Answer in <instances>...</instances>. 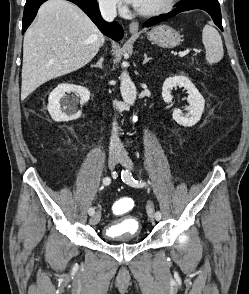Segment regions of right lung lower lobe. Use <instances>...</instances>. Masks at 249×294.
Wrapping results in <instances>:
<instances>
[{"label": "right lung lower lobe", "instance_id": "obj_1", "mask_svg": "<svg viewBox=\"0 0 249 294\" xmlns=\"http://www.w3.org/2000/svg\"><path fill=\"white\" fill-rule=\"evenodd\" d=\"M47 0H27L23 14L22 34L35 18L37 11L42 3ZM78 5L97 25L103 34L112 39L119 41L123 37V28L117 23H107L101 17L96 0H68Z\"/></svg>", "mask_w": 249, "mask_h": 294}]
</instances>
